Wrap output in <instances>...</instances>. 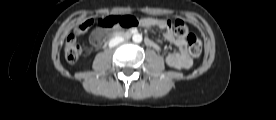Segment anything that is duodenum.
<instances>
[{
  "instance_id": "obj_1",
  "label": "duodenum",
  "mask_w": 276,
  "mask_h": 120,
  "mask_svg": "<svg viewBox=\"0 0 276 120\" xmlns=\"http://www.w3.org/2000/svg\"><path fill=\"white\" fill-rule=\"evenodd\" d=\"M135 34H136L135 32H121V33L114 34L112 36V38H118L119 37V38L127 39V38H129V37H131L132 35H135Z\"/></svg>"
}]
</instances>
